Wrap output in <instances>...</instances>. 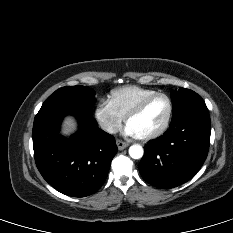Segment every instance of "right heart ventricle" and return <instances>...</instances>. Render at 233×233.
Listing matches in <instances>:
<instances>
[{"instance_id":"1","label":"right heart ventricle","mask_w":233,"mask_h":233,"mask_svg":"<svg viewBox=\"0 0 233 233\" xmlns=\"http://www.w3.org/2000/svg\"><path fill=\"white\" fill-rule=\"evenodd\" d=\"M157 93L153 89L143 88L139 86H124L111 91L109 102L116 112L125 118L126 115L143 99Z\"/></svg>"}]
</instances>
